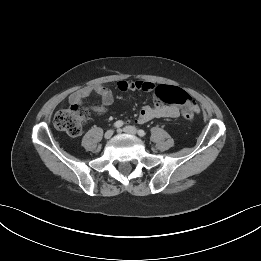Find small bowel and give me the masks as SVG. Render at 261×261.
I'll return each instance as SVG.
<instances>
[{"label":"small bowel","instance_id":"1","mask_svg":"<svg viewBox=\"0 0 261 261\" xmlns=\"http://www.w3.org/2000/svg\"><path fill=\"white\" fill-rule=\"evenodd\" d=\"M117 87L121 91L141 90L148 93H156V86L148 81H119ZM92 93H96L101 97V105L93 106L92 109L97 114L104 113L113 103V94L111 90L102 83L89 85L73 92L69 97L70 104H80ZM194 112H198V106L193 102ZM183 115V110L175 105L162 104L157 98L152 105L143 106L136 118V123L144 124L156 118H177Z\"/></svg>","mask_w":261,"mask_h":261}]
</instances>
